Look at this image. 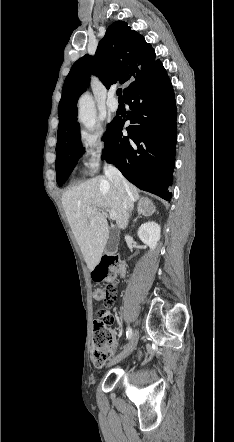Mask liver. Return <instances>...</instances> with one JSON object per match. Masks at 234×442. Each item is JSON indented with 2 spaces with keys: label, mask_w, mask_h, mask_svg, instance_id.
<instances>
[{
  "label": "liver",
  "mask_w": 234,
  "mask_h": 442,
  "mask_svg": "<svg viewBox=\"0 0 234 442\" xmlns=\"http://www.w3.org/2000/svg\"><path fill=\"white\" fill-rule=\"evenodd\" d=\"M128 186L136 201L138 189L129 183ZM62 205L87 267L92 271L100 262L109 238L104 210L116 213L120 229L127 227L129 215L123 206V195L107 176H97L66 191ZM88 208L92 214H87Z\"/></svg>",
  "instance_id": "6515ba94"
}]
</instances>
